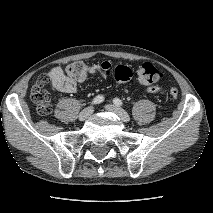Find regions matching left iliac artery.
I'll return each mask as SVG.
<instances>
[{"instance_id": "left-iliac-artery-1", "label": "left iliac artery", "mask_w": 213, "mask_h": 213, "mask_svg": "<svg viewBox=\"0 0 213 213\" xmlns=\"http://www.w3.org/2000/svg\"><path fill=\"white\" fill-rule=\"evenodd\" d=\"M113 102L116 106H121L123 104V102L119 98H115Z\"/></svg>"}]
</instances>
